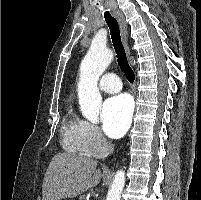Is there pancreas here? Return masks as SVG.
Wrapping results in <instances>:
<instances>
[{"mask_svg":"<svg viewBox=\"0 0 201 200\" xmlns=\"http://www.w3.org/2000/svg\"><path fill=\"white\" fill-rule=\"evenodd\" d=\"M80 200H84V197L80 198Z\"/></svg>","mask_w":201,"mask_h":200,"instance_id":"obj_1","label":"pancreas"}]
</instances>
